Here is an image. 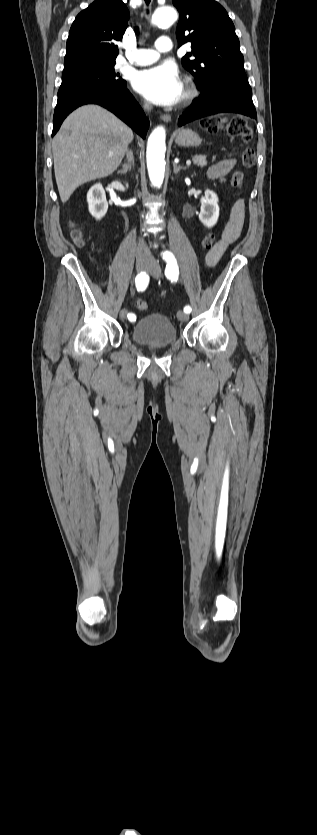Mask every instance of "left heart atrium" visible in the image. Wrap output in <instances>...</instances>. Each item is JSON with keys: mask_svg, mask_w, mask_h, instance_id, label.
I'll return each instance as SVG.
<instances>
[{"mask_svg": "<svg viewBox=\"0 0 317 835\" xmlns=\"http://www.w3.org/2000/svg\"><path fill=\"white\" fill-rule=\"evenodd\" d=\"M135 89L151 102L158 105H172L183 93V84L178 71L171 63H164L137 73Z\"/></svg>", "mask_w": 317, "mask_h": 835, "instance_id": "left-heart-atrium-1", "label": "left heart atrium"}]
</instances>
